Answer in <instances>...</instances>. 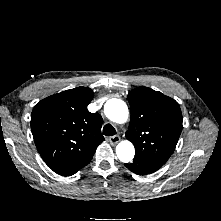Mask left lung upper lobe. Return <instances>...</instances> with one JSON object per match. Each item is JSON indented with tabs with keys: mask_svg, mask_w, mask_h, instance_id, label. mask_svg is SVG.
I'll return each instance as SVG.
<instances>
[{
	"mask_svg": "<svg viewBox=\"0 0 221 221\" xmlns=\"http://www.w3.org/2000/svg\"><path fill=\"white\" fill-rule=\"evenodd\" d=\"M131 120L126 138L137 159L164 164L175 150L182 131V113L172 98L148 87L129 92Z\"/></svg>",
	"mask_w": 221,
	"mask_h": 221,
	"instance_id": "1",
	"label": "left lung upper lobe"
}]
</instances>
